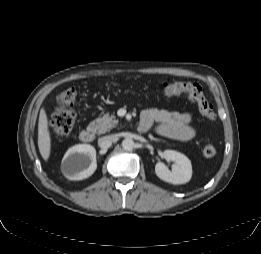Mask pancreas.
I'll return each instance as SVG.
<instances>
[{
    "label": "pancreas",
    "instance_id": "obj_1",
    "mask_svg": "<svg viewBox=\"0 0 261 254\" xmlns=\"http://www.w3.org/2000/svg\"><path fill=\"white\" fill-rule=\"evenodd\" d=\"M117 124L118 120H116V117L106 113L102 117H98L95 121H92L89 126L93 128L97 134H103L110 129L115 128Z\"/></svg>",
    "mask_w": 261,
    "mask_h": 254
}]
</instances>
